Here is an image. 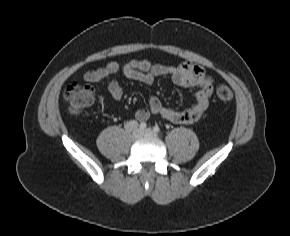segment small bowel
<instances>
[{"mask_svg": "<svg viewBox=\"0 0 290 236\" xmlns=\"http://www.w3.org/2000/svg\"><path fill=\"white\" fill-rule=\"evenodd\" d=\"M118 72L129 80L145 84H151L158 77H169L177 86L197 87L194 104L184 110L172 109L163 105L158 97H151L148 108L140 109L135 113L139 122H144L151 115H156L176 124H192L202 117L209 106L213 90L211 79L202 67L190 62L167 66L154 64L146 59L131 60L123 64L110 61L102 67L87 71L83 79L92 84L108 81V91L112 99L119 102L123 97L122 87L118 81L111 79Z\"/></svg>", "mask_w": 290, "mask_h": 236, "instance_id": "obj_1", "label": "small bowel"}]
</instances>
